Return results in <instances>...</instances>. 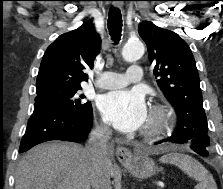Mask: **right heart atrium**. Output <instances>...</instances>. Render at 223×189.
Segmentation results:
<instances>
[{"label": "right heart atrium", "mask_w": 223, "mask_h": 189, "mask_svg": "<svg viewBox=\"0 0 223 189\" xmlns=\"http://www.w3.org/2000/svg\"><path fill=\"white\" fill-rule=\"evenodd\" d=\"M98 127L100 130H106V128H107L104 123H100Z\"/></svg>", "instance_id": "1"}]
</instances>
